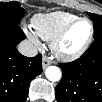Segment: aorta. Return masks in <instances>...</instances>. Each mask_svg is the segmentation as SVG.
<instances>
[{
    "mask_svg": "<svg viewBox=\"0 0 102 102\" xmlns=\"http://www.w3.org/2000/svg\"><path fill=\"white\" fill-rule=\"evenodd\" d=\"M46 78L49 81L56 82L61 79V71L57 66H49L45 71Z\"/></svg>",
    "mask_w": 102,
    "mask_h": 102,
    "instance_id": "762f6f07",
    "label": "aorta"
}]
</instances>
